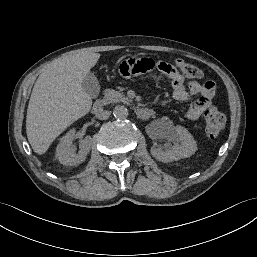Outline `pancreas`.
<instances>
[{
	"label": "pancreas",
	"mask_w": 257,
	"mask_h": 257,
	"mask_svg": "<svg viewBox=\"0 0 257 257\" xmlns=\"http://www.w3.org/2000/svg\"><path fill=\"white\" fill-rule=\"evenodd\" d=\"M103 95H104V98H103L104 104L118 103V102H123V103L130 102V100L123 93L116 91L114 89L104 90Z\"/></svg>",
	"instance_id": "obj_1"
}]
</instances>
